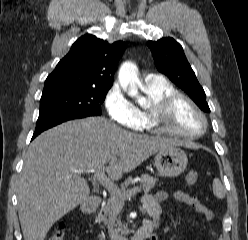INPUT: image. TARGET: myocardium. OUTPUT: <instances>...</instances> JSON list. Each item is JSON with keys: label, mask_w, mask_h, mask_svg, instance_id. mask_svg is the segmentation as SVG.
I'll return each instance as SVG.
<instances>
[{"label": "myocardium", "mask_w": 248, "mask_h": 240, "mask_svg": "<svg viewBox=\"0 0 248 240\" xmlns=\"http://www.w3.org/2000/svg\"><path fill=\"white\" fill-rule=\"evenodd\" d=\"M184 100L189 103L193 109L199 114L203 120V129L198 133L188 134L183 133L178 130L171 128L168 125V119L174 105L179 101ZM150 123L152 128L160 133L168 134L171 136L186 138V139H197L203 136L208 128V120L202 109L198 104L188 95L182 92H172L164 97H162L158 102H156L150 110Z\"/></svg>", "instance_id": "f54148a6"}]
</instances>
